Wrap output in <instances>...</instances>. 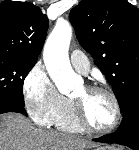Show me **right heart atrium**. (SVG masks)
<instances>
[{
    "mask_svg": "<svg viewBox=\"0 0 139 150\" xmlns=\"http://www.w3.org/2000/svg\"><path fill=\"white\" fill-rule=\"evenodd\" d=\"M22 91L25 108L33 122L39 126L51 125L63 106L64 97L57 91L41 64H36L28 72Z\"/></svg>",
    "mask_w": 139,
    "mask_h": 150,
    "instance_id": "1",
    "label": "right heart atrium"
}]
</instances>
